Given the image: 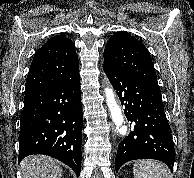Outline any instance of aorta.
I'll list each match as a JSON object with an SVG mask.
<instances>
[{
  "label": "aorta",
  "mask_w": 194,
  "mask_h": 178,
  "mask_svg": "<svg viewBox=\"0 0 194 178\" xmlns=\"http://www.w3.org/2000/svg\"><path fill=\"white\" fill-rule=\"evenodd\" d=\"M105 96L111 118L116 126L117 131L121 135H126L128 128L123 124L124 118L122 110L115 99V93L111 87L105 88Z\"/></svg>",
  "instance_id": "762f6f07"
}]
</instances>
